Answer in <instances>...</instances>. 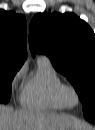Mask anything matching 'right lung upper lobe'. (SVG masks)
Wrapping results in <instances>:
<instances>
[{"label": "right lung upper lobe", "mask_w": 95, "mask_h": 130, "mask_svg": "<svg viewBox=\"0 0 95 130\" xmlns=\"http://www.w3.org/2000/svg\"><path fill=\"white\" fill-rule=\"evenodd\" d=\"M26 55L25 17L0 10V66L21 67Z\"/></svg>", "instance_id": "obj_1"}]
</instances>
